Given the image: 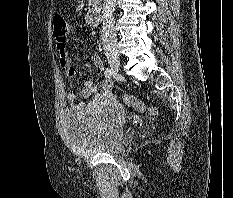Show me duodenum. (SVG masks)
<instances>
[{"mask_svg": "<svg viewBox=\"0 0 233 198\" xmlns=\"http://www.w3.org/2000/svg\"><path fill=\"white\" fill-rule=\"evenodd\" d=\"M101 13L98 8H92L86 15V21L89 25L95 26L99 23Z\"/></svg>", "mask_w": 233, "mask_h": 198, "instance_id": "obj_1", "label": "duodenum"}]
</instances>
